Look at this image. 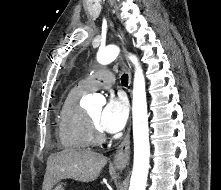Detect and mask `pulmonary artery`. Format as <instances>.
Instances as JSON below:
<instances>
[{
	"instance_id": "1",
	"label": "pulmonary artery",
	"mask_w": 221,
	"mask_h": 190,
	"mask_svg": "<svg viewBox=\"0 0 221 190\" xmlns=\"http://www.w3.org/2000/svg\"><path fill=\"white\" fill-rule=\"evenodd\" d=\"M115 82L114 74L109 70H98L79 82L86 91H95L100 87L109 88Z\"/></svg>"
}]
</instances>
